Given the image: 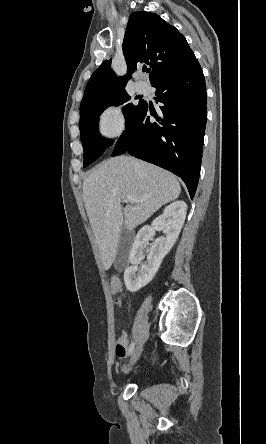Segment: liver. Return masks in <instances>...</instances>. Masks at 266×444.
<instances>
[{
	"instance_id": "liver-1",
	"label": "liver",
	"mask_w": 266,
	"mask_h": 444,
	"mask_svg": "<svg viewBox=\"0 0 266 444\" xmlns=\"http://www.w3.org/2000/svg\"><path fill=\"white\" fill-rule=\"evenodd\" d=\"M166 170L129 156L99 164L83 182V200L105 270L115 261L122 228L133 230L180 195ZM127 195L137 202L122 207Z\"/></svg>"
}]
</instances>
